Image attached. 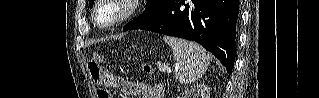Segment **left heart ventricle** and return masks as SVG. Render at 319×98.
<instances>
[{
  "mask_svg": "<svg viewBox=\"0 0 319 98\" xmlns=\"http://www.w3.org/2000/svg\"><path fill=\"white\" fill-rule=\"evenodd\" d=\"M123 11V7L118 4H105L98 10V21L102 24L111 22Z\"/></svg>",
  "mask_w": 319,
  "mask_h": 98,
  "instance_id": "left-heart-ventricle-1",
  "label": "left heart ventricle"
}]
</instances>
